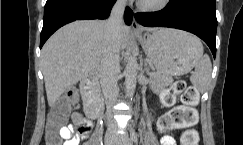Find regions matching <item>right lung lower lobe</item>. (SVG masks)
Instances as JSON below:
<instances>
[{
	"mask_svg": "<svg viewBox=\"0 0 243 145\" xmlns=\"http://www.w3.org/2000/svg\"><path fill=\"white\" fill-rule=\"evenodd\" d=\"M116 0H47L44 8V23L40 48L61 26L83 19H106ZM133 12L126 8L124 19L132 23Z\"/></svg>",
	"mask_w": 243,
	"mask_h": 145,
	"instance_id": "1",
	"label": "right lung lower lobe"
}]
</instances>
